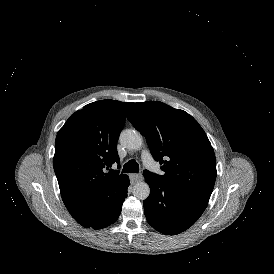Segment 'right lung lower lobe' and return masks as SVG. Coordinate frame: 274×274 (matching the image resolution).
<instances>
[{
    "mask_svg": "<svg viewBox=\"0 0 274 274\" xmlns=\"http://www.w3.org/2000/svg\"><path fill=\"white\" fill-rule=\"evenodd\" d=\"M129 178L116 189H114L110 195L104 200L100 210L87 217L76 219V221L86 228L101 229L114 223L120 213L122 204L127 197V188L129 186Z\"/></svg>",
    "mask_w": 274,
    "mask_h": 274,
    "instance_id": "1",
    "label": "right lung lower lobe"
}]
</instances>
